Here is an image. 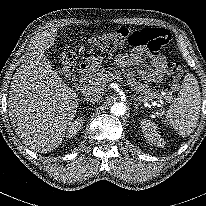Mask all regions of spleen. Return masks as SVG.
<instances>
[{
  "mask_svg": "<svg viewBox=\"0 0 206 206\" xmlns=\"http://www.w3.org/2000/svg\"><path fill=\"white\" fill-rule=\"evenodd\" d=\"M201 108V93L196 78L187 75L183 81L177 98L166 112L165 122L180 135H190L199 120Z\"/></svg>",
  "mask_w": 206,
  "mask_h": 206,
  "instance_id": "obj_1",
  "label": "spleen"
}]
</instances>
